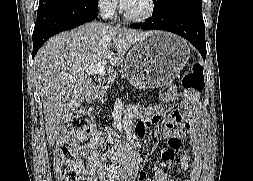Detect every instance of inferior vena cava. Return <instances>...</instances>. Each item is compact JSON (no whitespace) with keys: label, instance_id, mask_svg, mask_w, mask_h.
<instances>
[{"label":"inferior vena cava","instance_id":"1","mask_svg":"<svg viewBox=\"0 0 253 181\" xmlns=\"http://www.w3.org/2000/svg\"><path fill=\"white\" fill-rule=\"evenodd\" d=\"M114 14V8L102 9L101 17L103 19L111 18Z\"/></svg>","mask_w":253,"mask_h":181}]
</instances>
